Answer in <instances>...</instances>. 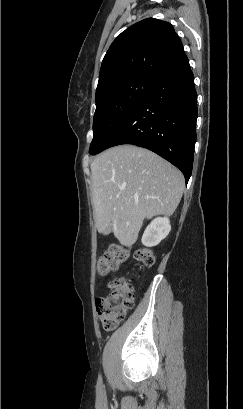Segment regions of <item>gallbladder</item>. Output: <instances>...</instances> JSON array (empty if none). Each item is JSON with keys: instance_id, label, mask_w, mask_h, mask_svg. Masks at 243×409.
<instances>
[{"instance_id": "1", "label": "gallbladder", "mask_w": 243, "mask_h": 409, "mask_svg": "<svg viewBox=\"0 0 243 409\" xmlns=\"http://www.w3.org/2000/svg\"><path fill=\"white\" fill-rule=\"evenodd\" d=\"M110 233H111V228L108 227V228L105 230L104 235H108V234H110Z\"/></svg>"}]
</instances>
